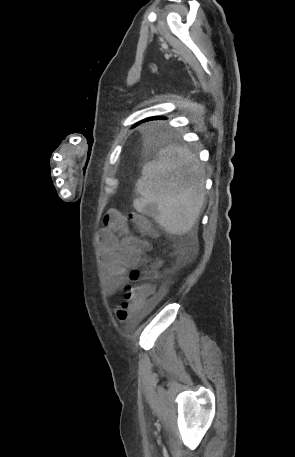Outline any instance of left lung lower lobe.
Listing matches in <instances>:
<instances>
[{"label": "left lung lower lobe", "mask_w": 295, "mask_h": 457, "mask_svg": "<svg viewBox=\"0 0 295 457\" xmlns=\"http://www.w3.org/2000/svg\"><path fill=\"white\" fill-rule=\"evenodd\" d=\"M161 117H151V119H148L147 121L149 120H154V119H160Z\"/></svg>", "instance_id": "left-lung-lower-lobe-1"}]
</instances>
